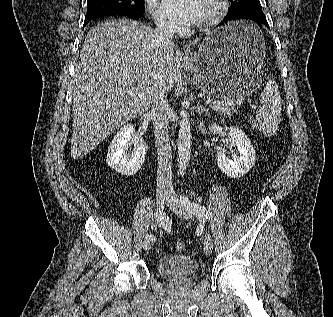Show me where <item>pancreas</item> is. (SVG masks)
<instances>
[{
  "label": "pancreas",
  "mask_w": 333,
  "mask_h": 317,
  "mask_svg": "<svg viewBox=\"0 0 333 317\" xmlns=\"http://www.w3.org/2000/svg\"><path fill=\"white\" fill-rule=\"evenodd\" d=\"M235 106L236 105H229V103H222L220 105L213 104L211 108L215 110L217 113L224 115L226 117H229L232 115V113L235 112Z\"/></svg>",
  "instance_id": "cf45deb5"
}]
</instances>
